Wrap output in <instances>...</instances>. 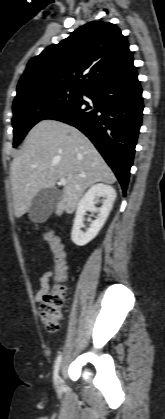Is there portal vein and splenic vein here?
<instances>
[{
	"label": "portal vein and splenic vein",
	"mask_w": 165,
	"mask_h": 419,
	"mask_svg": "<svg viewBox=\"0 0 165 419\" xmlns=\"http://www.w3.org/2000/svg\"><path fill=\"white\" fill-rule=\"evenodd\" d=\"M59 183L61 185H65L67 183V179L66 178H61L60 181H59Z\"/></svg>",
	"instance_id": "portal-vein-and-splenic-vein-1"
}]
</instances>
